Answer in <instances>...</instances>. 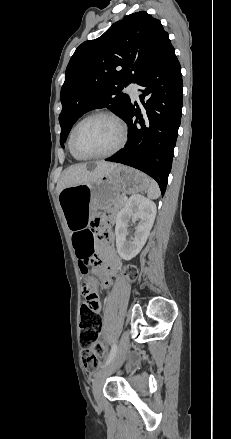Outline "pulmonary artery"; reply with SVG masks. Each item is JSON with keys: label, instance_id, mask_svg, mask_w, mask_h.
<instances>
[{"label": "pulmonary artery", "instance_id": "e3ab8cb5", "mask_svg": "<svg viewBox=\"0 0 231 439\" xmlns=\"http://www.w3.org/2000/svg\"><path fill=\"white\" fill-rule=\"evenodd\" d=\"M127 90L130 92L133 99H137L139 92H138V85L136 83H130L127 87Z\"/></svg>", "mask_w": 231, "mask_h": 439}]
</instances>
